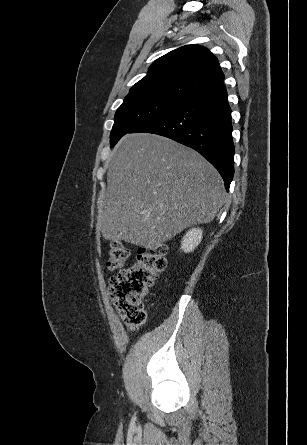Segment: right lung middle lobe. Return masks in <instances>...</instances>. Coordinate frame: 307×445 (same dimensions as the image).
<instances>
[{
    "label": "right lung middle lobe",
    "mask_w": 307,
    "mask_h": 445,
    "mask_svg": "<svg viewBox=\"0 0 307 445\" xmlns=\"http://www.w3.org/2000/svg\"><path fill=\"white\" fill-rule=\"evenodd\" d=\"M184 100L163 95L126 96L114 116V125L110 134L111 147L132 129L172 110Z\"/></svg>",
    "instance_id": "1"
}]
</instances>
